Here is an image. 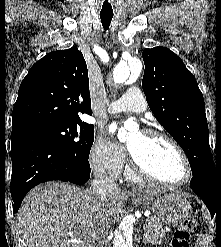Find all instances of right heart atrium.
<instances>
[{"mask_svg":"<svg viewBox=\"0 0 221 247\" xmlns=\"http://www.w3.org/2000/svg\"><path fill=\"white\" fill-rule=\"evenodd\" d=\"M126 157V151L123 147L103 137H98L89 151V162L92 170L100 174H107L112 178L120 176Z\"/></svg>","mask_w":221,"mask_h":247,"instance_id":"obj_1","label":"right heart atrium"}]
</instances>
